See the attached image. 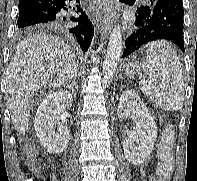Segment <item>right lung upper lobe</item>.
<instances>
[{"label":"right lung upper lobe","mask_w":197,"mask_h":181,"mask_svg":"<svg viewBox=\"0 0 197 181\" xmlns=\"http://www.w3.org/2000/svg\"><path fill=\"white\" fill-rule=\"evenodd\" d=\"M28 28H25V29H20L21 31H24V30H27Z\"/></svg>","instance_id":"right-lung-upper-lobe-1"}]
</instances>
